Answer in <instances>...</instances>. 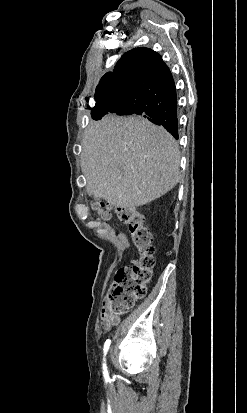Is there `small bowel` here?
Returning <instances> with one entry per match:
<instances>
[{"label":"small bowel","instance_id":"small-bowel-1","mask_svg":"<svg viewBox=\"0 0 247 413\" xmlns=\"http://www.w3.org/2000/svg\"><path fill=\"white\" fill-rule=\"evenodd\" d=\"M120 323V317L110 313L107 307L102 309L100 315V324L104 331H108L111 327L116 326Z\"/></svg>","mask_w":247,"mask_h":413}]
</instances>
